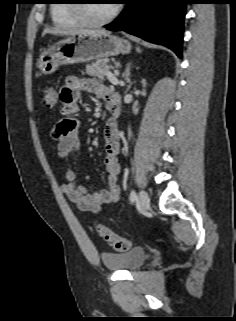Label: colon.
I'll return each mask as SVG.
<instances>
[{"mask_svg":"<svg viewBox=\"0 0 236 321\" xmlns=\"http://www.w3.org/2000/svg\"><path fill=\"white\" fill-rule=\"evenodd\" d=\"M58 101L57 90L54 87L48 86L43 90L42 102L44 106L53 108ZM96 230L98 234L117 252L128 251L131 247V243L127 238L113 232L108 227L97 224Z\"/></svg>","mask_w":236,"mask_h":321,"instance_id":"5ec220e1","label":"colon"}]
</instances>
